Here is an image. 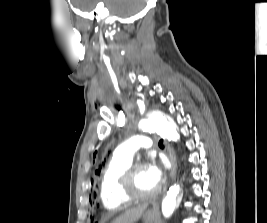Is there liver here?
Listing matches in <instances>:
<instances>
[{
	"instance_id": "6515ba94",
	"label": "liver",
	"mask_w": 267,
	"mask_h": 223,
	"mask_svg": "<svg viewBox=\"0 0 267 223\" xmlns=\"http://www.w3.org/2000/svg\"><path fill=\"white\" fill-rule=\"evenodd\" d=\"M147 206H148L147 204H144L129 209L125 211L121 216H119L113 223H134L141 218Z\"/></svg>"
}]
</instances>
